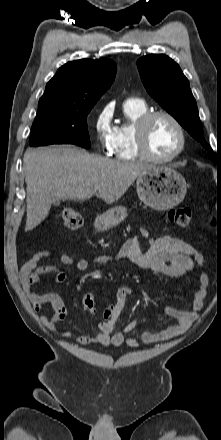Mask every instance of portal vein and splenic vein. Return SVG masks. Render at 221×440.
Here are the masks:
<instances>
[{"label":"portal vein and splenic vein","mask_w":221,"mask_h":440,"mask_svg":"<svg viewBox=\"0 0 221 440\" xmlns=\"http://www.w3.org/2000/svg\"><path fill=\"white\" fill-rule=\"evenodd\" d=\"M98 189H99V187H98V186H95V187H94V190H95V191H96V190H98Z\"/></svg>","instance_id":"1"}]
</instances>
